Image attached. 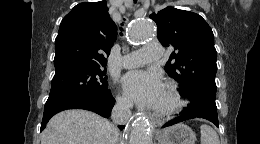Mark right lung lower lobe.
Instances as JSON below:
<instances>
[{"label": "right lung lower lobe", "mask_w": 260, "mask_h": 144, "mask_svg": "<svg viewBox=\"0 0 260 144\" xmlns=\"http://www.w3.org/2000/svg\"><path fill=\"white\" fill-rule=\"evenodd\" d=\"M114 104L115 99L111 94L90 100H64L45 104L41 131L45 128L50 118L60 111L67 109H85L93 111L103 117H109ZM118 127L121 130L124 128V126L120 125H118Z\"/></svg>", "instance_id": "right-lung-lower-lobe-1"}]
</instances>
